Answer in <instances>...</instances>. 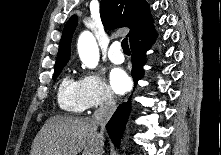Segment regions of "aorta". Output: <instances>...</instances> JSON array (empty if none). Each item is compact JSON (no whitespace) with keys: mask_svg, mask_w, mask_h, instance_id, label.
Segmentation results:
<instances>
[{"mask_svg":"<svg viewBox=\"0 0 221 155\" xmlns=\"http://www.w3.org/2000/svg\"><path fill=\"white\" fill-rule=\"evenodd\" d=\"M78 53L82 63L93 69L98 65L100 54L97 42L89 31L83 32L78 39Z\"/></svg>","mask_w":221,"mask_h":155,"instance_id":"762f6f07","label":"aorta"}]
</instances>
